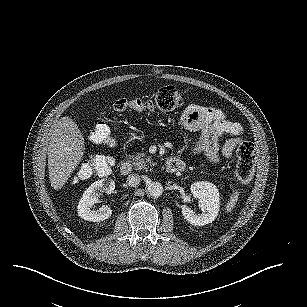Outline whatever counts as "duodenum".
<instances>
[{
  "label": "duodenum",
  "mask_w": 307,
  "mask_h": 307,
  "mask_svg": "<svg viewBox=\"0 0 307 307\" xmlns=\"http://www.w3.org/2000/svg\"><path fill=\"white\" fill-rule=\"evenodd\" d=\"M184 169L182 161L176 158H170L166 162V171L170 174L180 172ZM132 170V164L130 161H124L120 165V172L123 175H128Z\"/></svg>",
  "instance_id": "obj_1"
}]
</instances>
